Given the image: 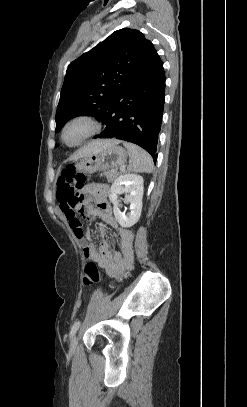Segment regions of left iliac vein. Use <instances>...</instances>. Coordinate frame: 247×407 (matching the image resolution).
<instances>
[{
  "label": "left iliac vein",
  "instance_id": "1",
  "mask_svg": "<svg viewBox=\"0 0 247 407\" xmlns=\"http://www.w3.org/2000/svg\"><path fill=\"white\" fill-rule=\"evenodd\" d=\"M77 347V336L74 335L70 342V348L75 349Z\"/></svg>",
  "mask_w": 247,
  "mask_h": 407
}]
</instances>
